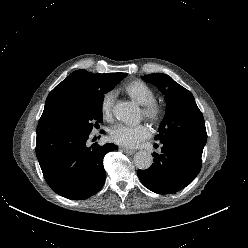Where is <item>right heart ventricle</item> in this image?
I'll use <instances>...</instances> for the list:
<instances>
[{"instance_id":"1","label":"right heart ventricle","mask_w":248,"mask_h":248,"mask_svg":"<svg viewBox=\"0 0 248 248\" xmlns=\"http://www.w3.org/2000/svg\"><path fill=\"white\" fill-rule=\"evenodd\" d=\"M126 94L140 105L147 104L155 100L154 90L146 83L136 80L124 86Z\"/></svg>"}]
</instances>
